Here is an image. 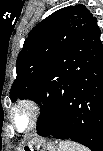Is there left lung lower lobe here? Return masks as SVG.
I'll use <instances>...</instances> for the list:
<instances>
[{"label": "left lung lower lobe", "instance_id": "left-lung-lower-lobe-1", "mask_svg": "<svg viewBox=\"0 0 103 151\" xmlns=\"http://www.w3.org/2000/svg\"><path fill=\"white\" fill-rule=\"evenodd\" d=\"M100 29L88 28L58 59L54 78L39 81L41 136L71 139L103 151V45ZM56 77V78H55Z\"/></svg>", "mask_w": 103, "mask_h": 151}]
</instances>
